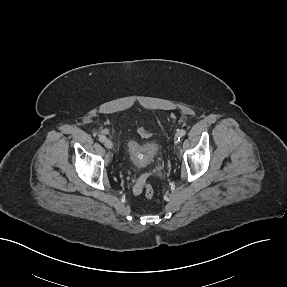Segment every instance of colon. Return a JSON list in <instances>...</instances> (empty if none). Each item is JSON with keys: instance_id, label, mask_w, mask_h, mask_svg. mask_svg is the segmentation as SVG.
I'll return each instance as SVG.
<instances>
[{"instance_id": "1", "label": "colon", "mask_w": 287, "mask_h": 287, "mask_svg": "<svg viewBox=\"0 0 287 287\" xmlns=\"http://www.w3.org/2000/svg\"><path fill=\"white\" fill-rule=\"evenodd\" d=\"M137 132L140 136H142L144 138H148L151 136V133L142 127H138ZM139 187L143 190L146 198L152 199L155 196V191H154L152 185L148 181H146L145 179H142V183Z\"/></svg>"}]
</instances>
